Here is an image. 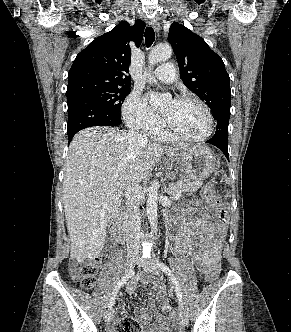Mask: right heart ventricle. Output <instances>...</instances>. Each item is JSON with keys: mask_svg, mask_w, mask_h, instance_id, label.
<instances>
[{"mask_svg": "<svg viewBox=\"0 0 291 332\" xmlns=\"http://www.w3.org/2000/svg\"><path fill=\"white\" fill-rule=\"evenodd\" d=\"M150 135L158 140H170L172 139V137L170 135H168L165 130L159 128L158 130H155L153 132L150 133Z\"/></svg>", "mask_w": 291, "mask_h": 332, "instance_id": "e07e8e85", "label": "right heart ventricle"}]
</instances>
